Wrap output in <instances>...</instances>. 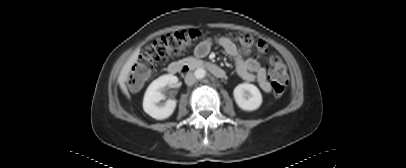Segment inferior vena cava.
<instances>
[{
  "label": "inferior vena cava",
  "mask_w": 406,
  "mask_h": 168,
  "mask_svg": "<svg viewBox=\"0 0 406 168\" xmlns=\"http://www.w3.org/2000/svg\"><path fill=\"white\" fill-rule=\"evenodd\" d=\"M185 83H186L188 86H191V85H193V84L195 83V76H194L193 73L188 72V73L186 74V76H185Z\"/></svg>",
  "instance_id": "1"
}]
</instances>
